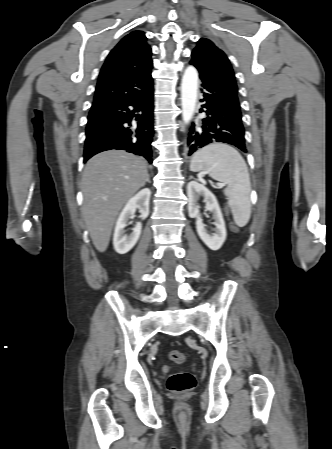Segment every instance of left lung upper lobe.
<instances>
[{
    "label": "left lung upper lobe",
    "mask_w": 332,
    "mask_h": 449,
    "mask_svg": "<svg viewBox=\"0 0 332 449\" xmlns=\"http://www.w3.org/2000/svg\"><path fill=\"white\" fill-rule=\"evenodd\" d=\"M200 75L213 79L237 95L235 76L229 59L212 41L201 38L192 52V60Z\"/></svg>",
    "instance_id": "obj_1"
}]
</instances>
